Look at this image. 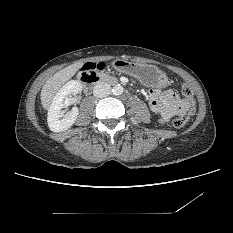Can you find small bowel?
Here are the masks:
<instances>
[{
    "label": "small bowel",
    "instance_id": "c3829d8e",
    "mask_svg": "<svg viewBox=\"0 0 233 233\" xmlns=\"http://www.w3.org/2000/svg\"><path fill=\"white\" fill-rule=\"evenodd\" d=\"M145 97L152 111L159 114L164 121H169L176 114H184L190 108L189 103L172 89L155 87L146 92Z\"/></svg>",
    "mask_w": 233,
    "mask_h": 233
}]
</instances>
